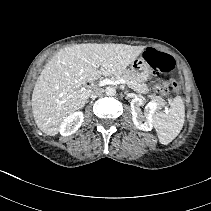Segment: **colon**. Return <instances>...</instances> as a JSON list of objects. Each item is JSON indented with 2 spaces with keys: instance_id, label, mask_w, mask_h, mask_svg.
<instances>
[{
  "instance_id": "5ec220e1",
  "label": "colon",
  "mask_w": 211,
  "mask_h": 211,
  "mask_svg": "<svg viewBox=\"0 0 211 211\" xmlns=\"http://www.w3.org/2000/svg\"><path fill=\"white\" fill-rule=\"evenodd\" d=\"M144 58L158 72L165 75H173L175 72L174 59L166 53L149 48L145 51ZM155 89L160 94L167 95L178 92L179 84L175 79H171L169 82L160 81L156 84Z\"/></svg>"
}]
</instances>
